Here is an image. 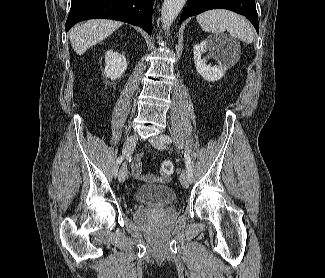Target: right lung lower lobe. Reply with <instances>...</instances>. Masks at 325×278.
Listing matches in <instances>:
<instances>
[{
  "label": "right lung lower lobe",
  "mask_w": 325,
  "mask_h": 278,
  "mask_svg": "<svg viewBox=\"0 0 325 278\" xmlns=\"http://www.w3.org/2000/svg\"><path fill=\"white\" fill-rule=\"evenodd\" d=\"M154 0H72L66 31L77 22L106 18L124 21L152 33Z\"/></svg>",
  "instance_id": "obj_1"
}]
</instances>
